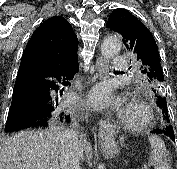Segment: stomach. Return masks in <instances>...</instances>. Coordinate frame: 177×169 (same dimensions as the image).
I'll return each mask as SVG.
<instances>
[{"label": "stomach", "mask_w": 177, "mask_h": 169, "mask_svg": "<svg viewBox=\"0 0 177 169\" xmlns=\"http://www.w3.org/2000/svg\"><path fill=\"white\" fill-rule=\"evenodd\" d=\"M102 151L107 158H114L118 154L117 146L112 142H104Z\"/></svg>", "instance_id": "0dacf381"}]
</instances>
